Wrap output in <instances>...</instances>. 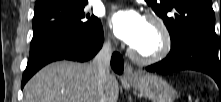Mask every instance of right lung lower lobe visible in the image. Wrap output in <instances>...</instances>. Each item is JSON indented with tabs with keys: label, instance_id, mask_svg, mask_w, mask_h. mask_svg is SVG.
Instances as JSON below:
<instances>
[{
	"label": "right lung lower lobe",
	"instance_id": "1",
	"mask_svg": "<svg viewBox=\"0 0 221 102\" xmlns=\"http://www.w3.org/2000/svg\"><path fill=\"white\" fill-rule=\"evenodd\" d=\"M103 41L104 35L101 24L87 34L67 33L46 41L36 50L30 52L21 88L23 89L25 83L39 69L50 62L63 59L84 62L91 59L101 49ZM111 66L116 73H122L124 63L119 53H113Z\"/></svg>",
	"mask_w": 221,
	"mask_h": 102
}]
</instances>
